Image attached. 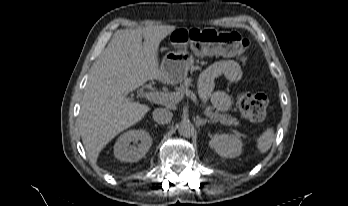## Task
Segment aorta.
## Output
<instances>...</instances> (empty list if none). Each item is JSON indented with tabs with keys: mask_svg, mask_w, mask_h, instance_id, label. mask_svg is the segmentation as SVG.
<instances>
[{
	"mask_svg": "<svg viewBox=\"0 0 348 206\" xmlns=\"http://www.w3.org/2000/svg\"><path fill=\"white\" fill-rule=\"evenodd\" d=\"M178 132L184 137H190L194 132V127L189 120H183L178 126Z\"/></svg>",
	"mask_w": 348,
	"mask_h": 206,
	"instance_id": "aorta-1",
	"label": "aorta"
}]
</instances>
